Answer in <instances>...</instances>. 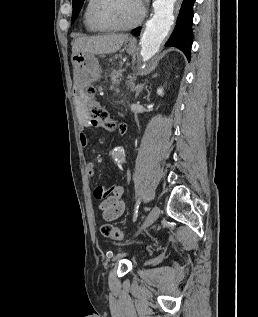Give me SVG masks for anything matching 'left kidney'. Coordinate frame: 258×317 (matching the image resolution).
<instances>
[{"mask_svg": "<svg viewBox=\"0 0 258 317\" xmlns=\"http://www.w3.org/2000/svg\"><path fill=\"white\" fill-rule=\"evenodd\" d=\"M157 94H160V96H163V94H164L163 88H158Z\"/></svg>", "mask_w": 258, "mask_h": 317, "instance_id": "obj_1", "label": "left kidney"}]
</instances>
